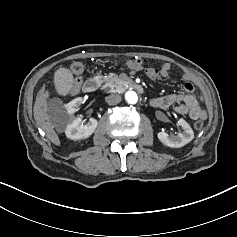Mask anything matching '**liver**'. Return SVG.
<instances>
[{
	"instance_id": "1",
	"label": "liver",
	"mask_w": 237,
	"mask_h": 237,
	"mask_svg": "<svg viewBox=\"0 0 237 237\" xmlns=\"http://www.w3.org/2000/svg\"><path fill=\"white\" fill-rule=\"evenodd\" d=\"M36 107H38L35 104V110H34V116L35 119L38 120V124L40 125V127L45 131L46 133V137L55 145L59 146L60 145V140L58 138V135L56 134V132L54 131L53 128L51 127H45V123H44V118L42 117V113L37 112L36 111ZM43 121V122H42Z\"/></svg>"
}]
</instances>
